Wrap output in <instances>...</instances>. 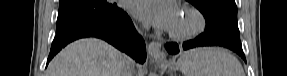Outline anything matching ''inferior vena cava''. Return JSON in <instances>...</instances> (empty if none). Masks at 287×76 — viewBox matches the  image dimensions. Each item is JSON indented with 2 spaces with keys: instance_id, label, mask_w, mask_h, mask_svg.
I'll list each match as a JSON object with an SVG mask.
<instances>
[{
  "instance_id": "obj_1",
  "label": "inferior vena cava",
  "mask_w": 287,
  "mask_h": 76,
  "mask_svg": "<svg viewBox=\"0 0 287 76\" xmlns=\"http://www.w3.org/2000/svg\"><path fill=\"white\" fill-rule=\"evenodd\" d=\"M148 25L145 26V29H148ZM132 59L127 57V63L122 71V76H132Z\"/></svg>"
}]
</instances>
